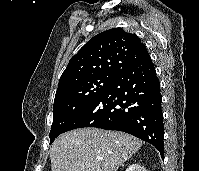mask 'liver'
Wrapping results in <instances>:
<instances>
[{
  "label": "liver",
  "mask_w": 199,
  "mask_h": 171,
  "mask_svg": "<svg viewBox=\"0 0 199 171\" xmlns=\"http://www.w3.org/2000/svg\"><path fill=\"white\" fill-rule=\"evenodd\" d=\"M130 134L81 128L60 135L50 148L52 171H117L142 146Z\"/></svg>",
  "instance_id": "6515ba94"
}]
</instances>
